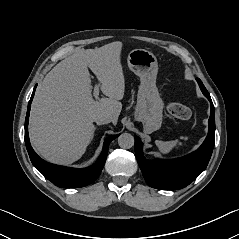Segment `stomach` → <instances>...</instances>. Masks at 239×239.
I'll return each instance as SVG.
<instances>
[{
	"mask_svg": "<svg viewBox=\"0 0 239 239\" xmlns=\"http://www.w3.org/2000/svg\"><path fill=\"white\" fill-rule=\"evenodd\" d=\"M129 68L140 77L135 119L142 122L144 131L151 133L162 124L163 101L156 87L158 62L155 55L145 49H134L128 55Z\"/></svg>",
	"mask_w": 239,
	"mask_h": 239,
	"instance_id": "1",
	"label": "stomach"
}]
</instances>
